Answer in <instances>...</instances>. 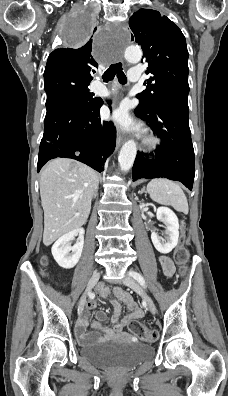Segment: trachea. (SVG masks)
Returning a JSON list of instances; mask_svg holds the SVG:
<instances>
[{
	"mask_svg": "<svg viewBox=\"0 0 228 396\" xmlns=\"http://www.w3.org/2000/svg\"><path fill=\"white\" fill-rule=\"evenodd\" d=\"M115 76H117L120 84L124 85L127 83V77L123 72L122 63L110 65V67L104 72L103 80L108 82L113 80Z\"/></svg>",
	"mask_w": 228,
	"mask_h": 396,
	"instance_id": "3493384b",
	"label": "trachea"
}]
</instances>
